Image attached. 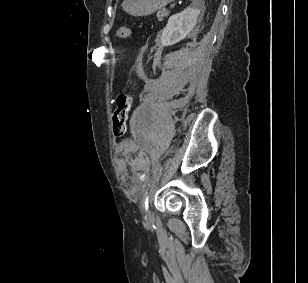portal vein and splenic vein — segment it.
<instances>
[{
    "label": "portal vein and splenic vein",
    "instance_id": "18ae733b",
    "mask_svg": "<svg viewBox=\"0 0 308 283\" xmlns=\"http://www.w3.org/2000/svg\"><path fill=\"white\" fill-rule=\"evenodd\" d=\"M175 6V4H172L171 6H170V8H173Z\"/></svg>",
    "mask_w": 308,
    "mask_h": 283
}]
</instances>
